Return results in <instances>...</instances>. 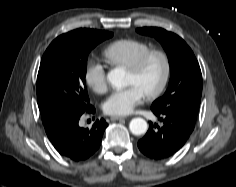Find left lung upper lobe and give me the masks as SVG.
Returning a JSON list of instances; mask_svg holds the SVG:
<instances>
[{
  "label": "left lung upper lobe",
  "mask_w": 236,
  "mask_h": 187,
  "mask_svg": "<svg viewBox=\"0 0 236 187\" xmlns=\"http://www.w3.org/2000/svg\"><path fill=\"white\" fill-rule=\"evenodd\" d=\"M140 34L155 37L165 49L170 64V81L165 94L151 110L170 112L196 121L202 94V74L194 53L178 35L162 28L144 27Z\"/></svg>",
  "instance_id": "left-lung-upper-lobe-1"
}]
</instances>
